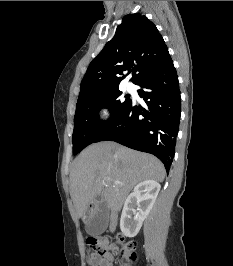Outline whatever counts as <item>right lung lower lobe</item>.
Here are the masks:
<instances>
[{"instance_id":"98d812e1","label":"right lung lower lobe","mask_w":233,"mask_h":266,"mask_svg":"<svg viewBox=\"0 0 233 266\" xmlns=\"http://www.w3.org/2000/svg\"><path fill=\"white\" fill-rule=\"evenodd\" d=\"M137 85L146 107L134 102L95 142L115 141L158 157L170 169L181 114L178 76L171 57Z\"/></svg>"}]
</instances>
